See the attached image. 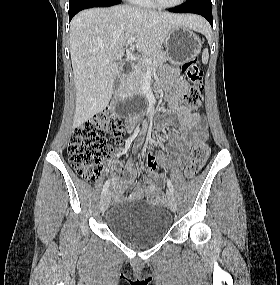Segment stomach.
Masks as SVG:
<instances>
[{"mask_svg":"<svg viewBox=\"0 0 280 285\" xmlns=\"http://www.w3.org/2000/svg\"><path fill=\"white\" fill-rule=\"evenodd\" d=\"M166 54L171 62L183 63L196 57L201 51V41L186 26L173 27L164 42Z\"/></svg>","mask_w":280,"mask_h":285,"instance_id":"1","label":"stomach"}]
</instances>
